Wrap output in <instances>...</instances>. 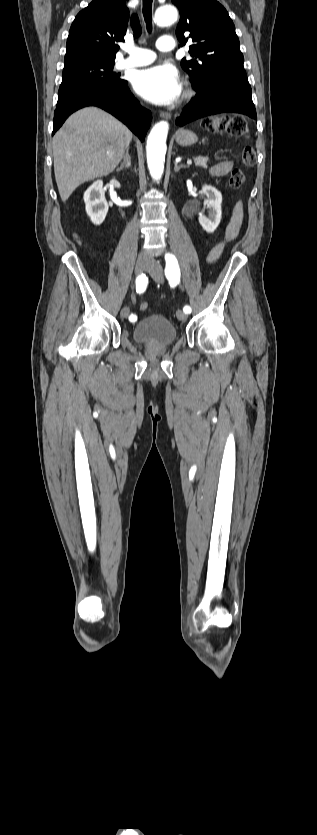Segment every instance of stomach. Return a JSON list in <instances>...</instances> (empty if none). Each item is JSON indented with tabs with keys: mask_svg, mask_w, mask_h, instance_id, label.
Instances as JSON below:
<instances>
[{
	"mask_svg": "<svg viewBox=\"0 0 317 835\" xmlns=\"http://www.w3.org/2000/svg\"><path fill=\"white\" fill-rule=\"evenodd\" d=\"M176 142L180 146L188 147L195 144L198 141L197 135L186 129L178 130L175 134Z\"/></svg>",
	"mask_w": 317,
	"mask_h": 835,
	"instance_id": "0dacf381",
	"label": "stomach"
}]
</instances>
